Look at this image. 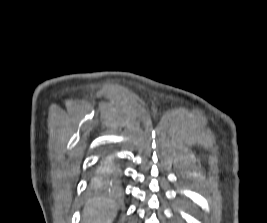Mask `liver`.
<instances>
[{
    "instance_id": "liver-1",
    "label": "liver",
    "mask_w": 267,
    "mask_h": 223,
    "mask_svg": "<svg viewBox=\"0 0 267 223\" xmlns=\"http://www.w3.org/2000/svg\"><path fill=\"white\" fill-rule=\"evenodd\" d=\"M116 214L115 202L105 197L90 199L84 209L85 223H112Z\"/></svg>"
}]
</instances>
